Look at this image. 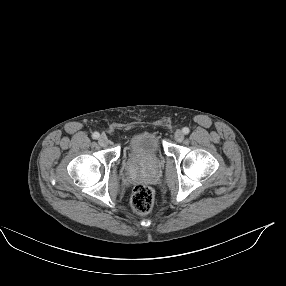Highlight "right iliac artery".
Returning a JSON list of instances; mask_svg holds the SVG:
<instances>
[{
  "mask_svg": "<svg viewBox=\"0 0 286 286\" xmlns=\"http://www.w3.org/2000/svg\"><path fill=\"white\" fill-rule=\"evenodd\" d=\"M99 136H100V134H99L98 132H94V133L92 134V137H93L94 139H98Z\"/></svg>",
  "mask_w": 286,
  "mask_h": 286,
  "instance_id": "obj_1",
  "label": "right iliac artery"
}]
</instances>
